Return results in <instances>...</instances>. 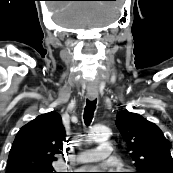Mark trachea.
Here are the masks:
<instances>
[{
	"label": "trachea",
	"mask_w": 173,
	"mask_h": 173,
	"mask_svg": "<svg viewBox=\"0 0 173 173\" xmlns=\"http://www.w3.org/2000/svg\"><path fill=\"white\" fill-rule=\"evenodd\" d=\"M96 103H97L96 99L92 100V101L87 100V103H86V106L84 109V115H83L84 123L86 126H89L90 123L92 122Z\"/></svg>",
	"instance_id": "obj_1"
}]
</instances>
